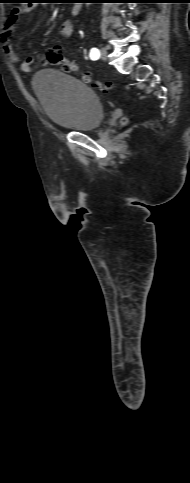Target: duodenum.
<instances>
[{"mask_svg":"<svg viewBox=\"0 0 190 483\" xmlns=\"http://www.w3.org/2000/svg\"><path fill=\"white\" fill-rule=\"evenodd\" d=\"M71 12H72V14L76 15L79 12V6L77 4H74L71 7Z\"/></svg>","mask_w":190,"mask_h":483,"instance_id":"1","label":"duodenum"}]
</instances>
